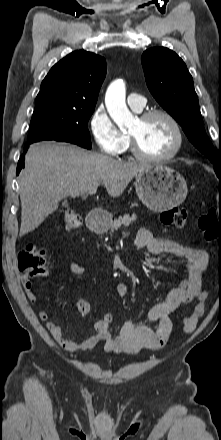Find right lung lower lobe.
<instances>
[{
  "instance_id": "right-lung-lower-lobe-1",
  "label": "right lung lower lobe",
  "mask_w": 221,
  "mask_h": 440,
  "mask_svg": "<svg viewBox=\"0 0 221 440\" xmlns=\"http://www.w3.org/2000/svg\"><path fill=\"white\" fill-rule=\"evenodd\" d=\"M31 144V143H30ZM27 150V147L25 148V151ZM24 168V154L20 157L18 164H17V171L16 174L18 175L21 169Z\"/></svg>"
}]
</instances>
